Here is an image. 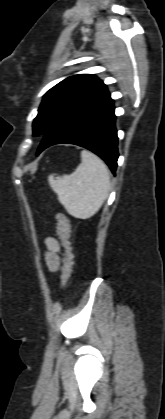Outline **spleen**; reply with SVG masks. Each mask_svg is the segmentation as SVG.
<instances>
[{
    "instance_id": "spleen-1",
    "label": "spleen",
    "mask_w": 165,
    "mask_h": 419,
    "mask_svg": "<svg viewBox=\"0 0 165 419\" xmlns=\"http://www.w3.org/2000/svg\"><path fill=\"white\" fill-rule=\"evenodd\" d=\"M48 183L67 212L79 219H88L98 212L110 189L106 165L95 154L83 150L81 163L70 175L48 176Z\"/></svg>"
}]
</instances>
